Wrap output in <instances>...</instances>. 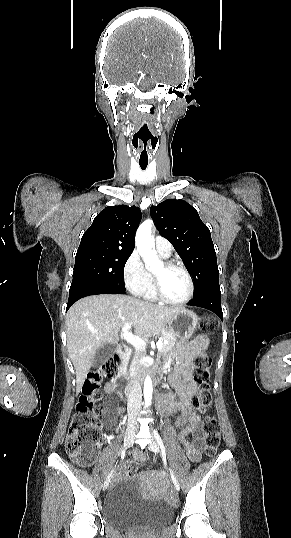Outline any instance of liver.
Returning <instances> with one entry per match:
<instances>
[{
  "mask_svg": "<svg viewBox=\"0 0 291 538\" xmlns=\"http://www.w3.org/2000/svg\"><path fill=\"white\" fill-rule=\"evenodd\" d=\"M181 310L118 294L77 301L66 316L67 349L76 372V393L82 389L96 351L105 343L117 344L125 324H132L135 335L147 339Z\"/></svg>",
  "mask_w": 291,
  "mask_h": 538,
  "instance_id": "1",
  "label": "liver"
}]
</instances>
